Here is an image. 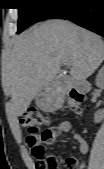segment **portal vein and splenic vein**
<instances>
[{
  "label": "portal vein and splenic vein",
  "instance_id": "18ae733b",
  "mask_svg": "<svg viewBox=\"0 0 104 169\" xmlns=\"http://www.w3.org/2000/svg\"><path fill=\"white\" fill-rule=\"evenodd\" d=\"M65 65H68V63H67V62H65Z\"/></svg>",
  "mask_w": 104,
  "mask_h": 169
}]
</instances>
